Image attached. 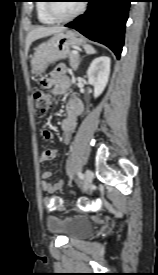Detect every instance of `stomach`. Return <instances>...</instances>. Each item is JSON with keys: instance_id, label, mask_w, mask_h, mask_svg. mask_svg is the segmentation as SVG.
Masks as SVG:
<instances>
[{"instance_id": "stomach-1", "label": "stomach", "mask_w": 158, "mask_h": 275, "mask_svg": "<svg viewBox=\"0 0 158 275\" xmlns=\"http://www.w3.org/2000/svg\"><path fill=\"white\" fill-rule=\"evenodd\" d=\"M84 44L85 39L76 31L65 30L54 34L35 49L31 59L33 72L35 74L44 73L50 64L67 58L71 53V47Z\"/></svg>"}]
</instances>
